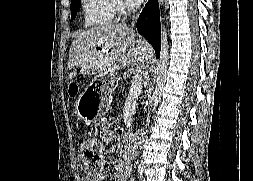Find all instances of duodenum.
<instances>
[{
  "label": "duodenum",
  "instance_id": "obj_1",
  "mask_svg": "<svg viewBox=\"0 0 253 181\" xmlns=\"http://www.w3.org/2000/svg\"><path fill=\"white\" fill-rule=\"evenodd\" d=\"M146 131L144 129L139 130L138 136L143 137L145 135Z\"/></svg>",
  "mask_w": 253,
  "mask_h": 181
}]
</instances>
